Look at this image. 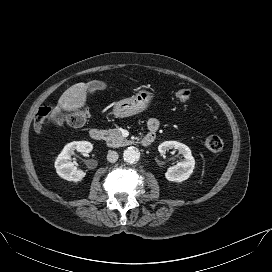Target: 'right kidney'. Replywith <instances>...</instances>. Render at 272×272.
<instances>
[{
	"label": "right kidney",
	"instance_id": "obj_1",
	"mask_svg": "<svg viewBox=\"0 0 272 272\" xmlns=\"http://www.w3.org/2000/svg\"><path fill=\"white\" fill-rule=\"evenodd\" d=\"M92 149V144L87 141H73L68 143L55 161L57 174L61 178L68 181H81L85 177V173L82 170H78L74 166V164L70 161L71 156L74 155V151L89 153L92 151Z\"/></svg>",
	"mask_w": 272,
	"mask_h": 272
}]
</instances>
